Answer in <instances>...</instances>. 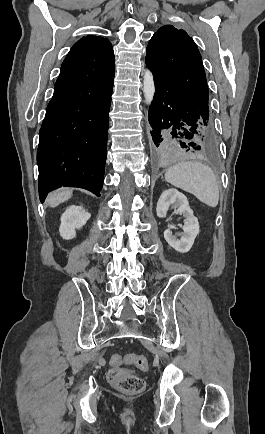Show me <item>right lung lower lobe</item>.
Wrapping results in <instances>:
<instances>
[{
	"instance_id": "98d812e1",
	"label": "right lung lower lobe",
	"mask_w": 265,
	"mask_h": 434,
	"mask_svg": "<svg viewBox=\"0 0 265 434\" xmlns=\"http://www.w3.org/2000/svg\"><path fill=\"white\" fill-rule=\"evenodd\" d=\"M112 50L72 47L40 129L39 197L61 186L100 196L114 80Z\"/></svg>"
}]
</instances>
